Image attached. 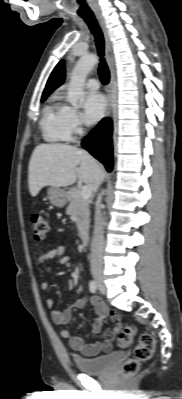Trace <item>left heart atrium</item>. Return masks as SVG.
<instances>
[{"instance_id": "1", "label": "left heart atrium", "mask_w": 182, "mask_h": 399, "mask_svg": "<svg viewBox=\"0 0 182 399\" xmlns=\"http://www.w3.org/2000/svg\"><path fill=\"white\" fill-rule=\"evenodd\" d=\"M106 109V100L104 96L98 92L87 94L84 100L85 118L90 122L99 121Z\"/></svg>"}]
</instances>
